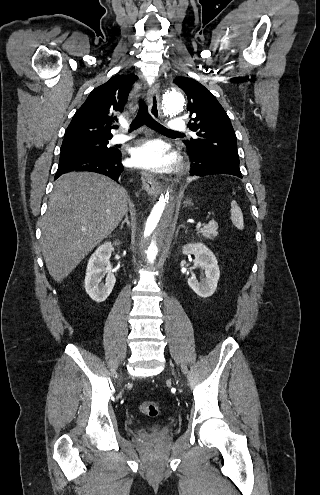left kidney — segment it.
<instances>
[{"mask_svg":"<svg viewBox=\"0 0 320 495\" xmlns=\"http://www.w3.org/2000/svg\"><path fill=\"white\" fill-rule=\"evenodd\" d=\"M183 254L195 256L194 266L199 267L205 273V278L200 282L196 277L188 279L190 288L200 297L207 298L214 294L220 278V270L213 252L202 243L187 244L182 249Z\"/></svg>","mask_w":320,"mask_h":495,"instance_id":"left-kidney-1","label":"left kidney"}]
</instances>
